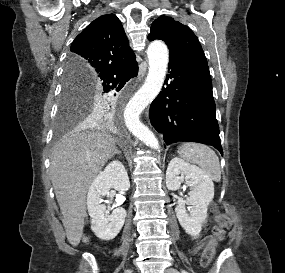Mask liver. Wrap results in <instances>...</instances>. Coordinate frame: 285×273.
Returning a JSON list of instances; mask_svg holds the SVG:
<instances>
[{"label":"liver","instance_id":"6515ba94","mask_svg":"<svg viewBox=\"0 0 285 273\" xmlns=\"http://www.w3.org/2000/svg\"><path fill=\"white\" fill-rule=\"evenodd\" d=\"M90 119L60 140L50 157V175L63 226L72 246L83 236L86 194L91 182L116 150V140L100 131H83Z\"/></svg>","mask_w":285,"mask_h":273}]
</instances>
